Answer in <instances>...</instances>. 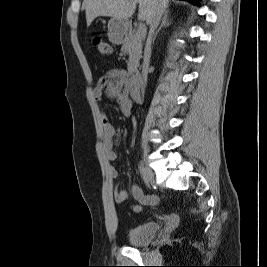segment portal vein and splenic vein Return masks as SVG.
I'll return each mask as SVG.
<instances>
[{"instance_id": "18ae733b", "label": "portal vein and splenic vein", "mask_w": 267, "mask_h": 267, "mask_svg": "<svg viewBox=\"0 0 267 267\" xmlns=\"http://www.w3.org/2000/svg\"><path fill=\"white\" fill-rule=\"evenodd\" d=\"M136 34H137L138 38H140V39L145 38V35H146V27H145V24L140 23Z\"/></svg>"}]
</instances>
